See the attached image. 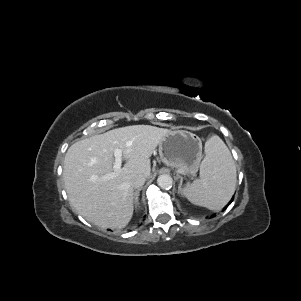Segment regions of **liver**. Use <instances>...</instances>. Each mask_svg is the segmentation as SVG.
<instances>
[{"label": "liver", "mask_w": 301, "mask_h": 301, "mask_svg": "<svg viewBox=\"0 0 301 301\" xmlns=\"http://www.w3.org/2000/svg\"><path fill=\"white\" fill-rule=\"evenodd\" d=\"M168 129L132 125L110 130L74 143L64 159L63 180L72 206L87 221L102 227L122 229L133 215L132 179L151 174L150 157ZM126 160L121 172H113L114 149Z\"/></svg>", "instance_id": "obj_1"}]
</instances>
